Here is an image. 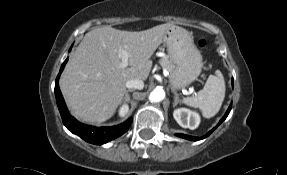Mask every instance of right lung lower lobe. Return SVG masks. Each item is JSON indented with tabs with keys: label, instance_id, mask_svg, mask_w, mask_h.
I'll return each instance as SVG.
<instances>
[{
	"label": "right lung lower lobe",
	"instance_id": "98d812e1",
	"mask_svg": "<svg viewBox=\"0 0 287 175\" xmlns=\"http://www.w3.org/2000/svg\"><path fill=\"white\" fill-rule=\"evenodd\" d=\"M68 58L64 61L60 68V73L58 74L56 81H55V96H56V101L58 105V109L61 114V118L63 121V124L66 126V128L81 137L83 140L96 144V145H101L104 143H107L122 134H124L130 127L132 119H128L122 124H119L117 126H112V127H94V126H89L80 123L77 121L68 111L65 101L63 99V96L61 94V91L59 89V76L61 72L63 71L65 64L67 63Z\"/></svg>",
	"mask_w": 287,
	"mask_h": 175
}]
</instances>
